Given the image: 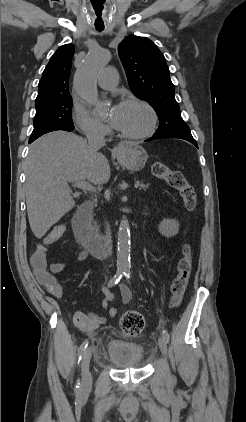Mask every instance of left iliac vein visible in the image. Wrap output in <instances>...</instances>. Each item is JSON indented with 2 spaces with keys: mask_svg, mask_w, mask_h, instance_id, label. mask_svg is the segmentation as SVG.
Wrapping results in <instances>:
<instances>
[{
  "mask_svg": "<svg viewBox=\"0 0 246 422\" xmlns=\"http://www.w3.org/2000/svg\"><path fill=\"white\" fill-rule=\"evenodd\" d=\"M158 345L161 353L165 356L167 354V342L165 341L164 337H160L158 340Z\"/></svg>",
  "mask_w": 246,
  "mask_h": 422,
  "instance_id": "4c4485c4",
  "label": "left iliac vein"
}]
</instances>
